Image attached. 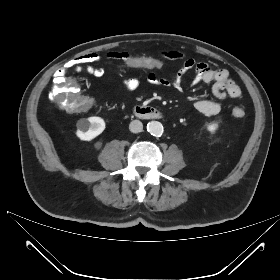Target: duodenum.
Wrapping results in <instances>:
<instances>
[{"instance_id":"410a0bca","label":"duodenum","mask_w":280,"mask_h":280,"mask_svg":"<svg viewBox=\"0 0 280 280\" xmlns=\"http://www.w3.org/2000/svg\"><path fill=\"white\" fill-rule=\"evenodd\" d=\"M134 113L141 119H160L162 117V111L152 106L137 105Z\"/></svg>"}]
</instances>
